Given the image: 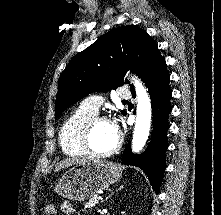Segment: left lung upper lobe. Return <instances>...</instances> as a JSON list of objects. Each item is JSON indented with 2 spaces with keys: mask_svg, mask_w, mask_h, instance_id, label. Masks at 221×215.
Masks as SVG:
<instances>
[{
  "mask_svg": "<svg viewBox=\"0 0 221 215\" xmlns=\"http://www.w3.org/2000/svg\"><path fill=\"white\" fill-rule=\"evenodd\" d=\"M162 59L157 45L145 30L128 25L109 31L74 56L62 72L55 101V119L91 92H106L129 84L124 78L127 70L142 79ZM130 86L134 88L132 84Z\"/></svg>",
  "mask_w": 221,
  "mask_h": 215,
  "instance_id": "obj_1",
  "label": "left lung upper lobe"
}]
</instances>
